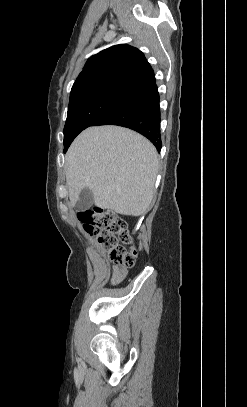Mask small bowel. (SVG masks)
<instances>
[{
	"label": "small bowel",
	"instance_id": "c3829d8e",
	"mask_svg": "<svg viewBox=\"0 0 247 407\" xmlns=\"http://www.w3.org/2000/svg\"><path fill=\"white\" fill-rule=\"evenodd\" d=\"M127 275V269L122 266H113L112 268V279L114 282H119L124 279Z\"/></svg>",
	"mask_w": 247,
	"mask_h": 407
}]
</instances>
